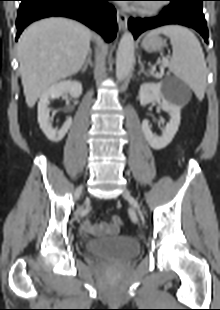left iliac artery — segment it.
<instances>
[{
    "label": "left iliac artery",
    "mask_w": 220,
    "mask_h": 310,
    "mask_svg": "<svg viewBox=\"0 0 220 310\" xmlns=\"http://www.w3.org/2000/svg\"><path fill=\"white\" fill-rule=\"evenodd\" d=\"M128 213H129V216H130L131 220L134 223H137L138 222V218H137V215H136L135 211L132 208H129Z\"/></svg>",
    "instance_id": "left-iliac-artery-1"
}]
</instances>
